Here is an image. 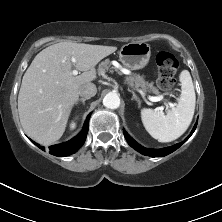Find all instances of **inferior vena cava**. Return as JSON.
<instances>
[{
    "instance_id": "obj_1",
    "label": "inferior vena cava",
    "mask_w": 222,
    "mask_h": 222,
    "mask_svg": "<svg viewBox=\"0 0 222 222\" xmlns=\"http://www.w3.org/2000/svg\"><path fill=\"white\" fill-rule=\"evenodd\" d=\"M97 88L93 83L83 85L79 90V95L83 98H91L96 95Z\"/></svg>"
}]
</instances>
